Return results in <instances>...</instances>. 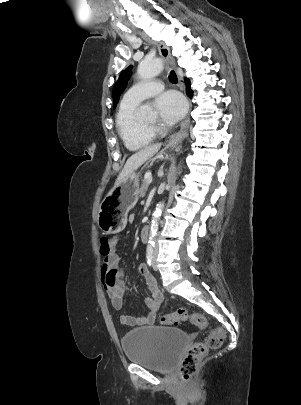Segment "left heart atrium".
Wrapping results in <instances>:
<instances>
[{"instance_id": "left-heart-atrium-1", "label": "left heart atrium", "mask_w": 301, "mask_h": 405, "mask_svg": "<svg viewBox=\"0 0 301 405\" xmlns=\"http://www.w3.org/2000/svg\"><path fill=\"white\" fill-rule=\"evenodd\" d=\"M155 107L161 120L167 123L178 121L186 112V102L176 91H166L155 99Z\"/></svg>"}]
</instances>
